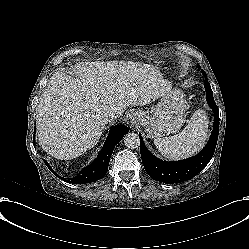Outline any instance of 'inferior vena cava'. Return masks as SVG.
<instances>
[{"instance_id":"inferior-vena-cava-1","label":"inferior vena cava","mask_w":249,"mask_h":249,"mask_svg":"<svg viewBox=\"0 0 249 249\" xmlns=\"http://www.w3.org/2000/svg\"><path fill=\"white\" fill-rule=\"evenodd\" d=\"M120 114L116 109H112L108 112V116L105 119V123L112 122L114 119L119 118Z\"/></svg>"}]
</instances>
